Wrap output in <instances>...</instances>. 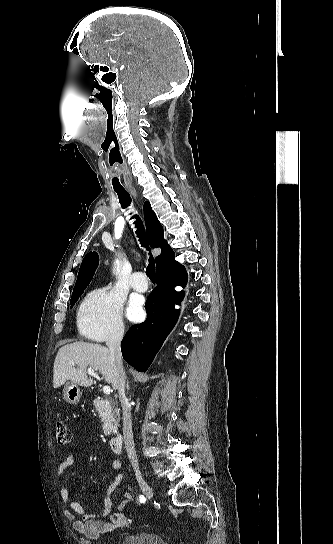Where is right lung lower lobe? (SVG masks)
Wrapping results in <instances>:
<instances>
[{
  "mask_svg": "<svg viewBox=\"0 0 333 544\" xmlns=\"http://www.w3.org/2000/svg\"><path fill=\"white\" fill-rule=\"evenodd\" d=\"M185 267L176 264L156 273L157 286L149 295L145 308L147 319L134 325L124 336L121 350L124 360L140 372H146L164 340L175 326L184 292L174 287H185L187 283Z\"/></svg>",
  "mask_w": 333,
  "mask_h": 544,
  "instance_id": "right-lung-lower-lobe-1",
  "label": "right lung lower lobe"
}]
</instances>
